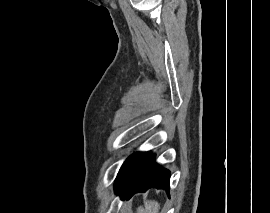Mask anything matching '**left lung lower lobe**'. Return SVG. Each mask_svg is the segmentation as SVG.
Listing matches in <instances>:
<instances>
[{
  "label": "left lung lower lobe",
  "mask_w": 270,
  "mask_h": 213,
  "mask_svg": "<svg viewBox=\"0 0 270 213\" xmlns=\"http://www.w3.org/2000/svg\"><path fill=\"white\" fill-rule=\"evenodd\" d=\"M170 172L155 163L152 153L135 152L122 165L116 181L115 192L122 199H129L136 192L149 188L169 191Z\"/></svg>",
  "instance_id": "obj_1"
}]
</instances>
